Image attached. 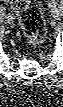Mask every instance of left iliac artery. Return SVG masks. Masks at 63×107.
<instances>
[{
  "instance_id": "obj_1",
  "label": "left iliac artery",
  "mask_w": 63,
  "mask_h": 107,
  "mask_svg": "<svg viewBox=\"0 0 63 107\" xmlns=\"http://www.w3.org/2000/svg\"><path fill=\"white\" fill-rule=\"evenodd\" d=\"M50 7L54 8L56 7V2H54L53 0L50 2L49 4Z\"/></svg>"
}]
</instances>
